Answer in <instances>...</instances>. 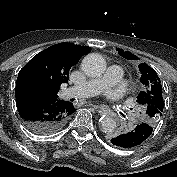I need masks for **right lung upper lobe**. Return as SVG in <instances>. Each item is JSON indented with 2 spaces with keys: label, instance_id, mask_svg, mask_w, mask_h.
Masks as SVG:
<instances>
[{
  "label": "right lung upper lobe",
  "instance_id": "1",
  "mask_svg": "<svg viewBox=\"0 0 177 177\" xmlns=\"http://www.w3.org/2000/svg\"><path fill=\"white\" fill-rule=\"evenodd\" d=\"M89 51L88 46L59 43L38 53L20 70L15 94L31 93L58 99L60 85L68 82L69 70Z\"/></svg>",
  "mask_w": 177,
  "mask_h": 177
}]
</instances>
